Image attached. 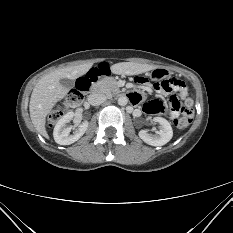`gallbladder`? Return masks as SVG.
Masks as SVG:
<instances>
[{"instance_id":"gallbladder-1","label":"gallbladder","mask_w":233,"mask_h":233,"mask_svg":"<svg viewBox=\"0 0 233 233\" xmlns=\"http://www.w3.org/2000/svg\"><path fill=\"white\" fill-rule=\"evenodd\" d=\"M60 84H61L64 88L70 90V89H72V88L74 87L75 82H74V80H72V79L62 78V79L60 80Z\"/></svg>"}]
</instances>
